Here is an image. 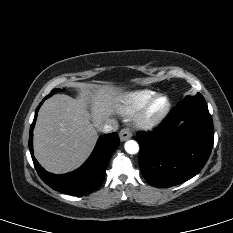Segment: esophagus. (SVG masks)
<instances>
[{"label": "esophagus", "mask_w": 233, "mask_h": 233, "mask_svg": "<svg viewBox=\"0 0 233 233\" xmlns=\"http://www.w3.org/2000/svg\"><path fill=\"white\" fill-rule=\"evenodd\" d=\"M119 136H120L121 141H125L132 137V132L130 129L124 128L120 131Z\"/></svg>", "instance_id": "34e87169"}]
</instances>
